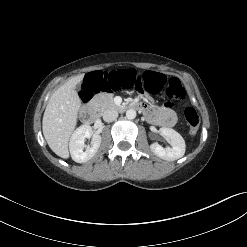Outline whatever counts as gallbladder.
Wrapping results in <instances>:
<instances>
[{
    "label": "gallbladder",
    "instance_id": "obj_1",
    "mask_svg": "<svg viewBox=\"0 0 247 247\" xmlns=\"http://www.w3.org/2000/svg\"><path fill=\"white\" fill-rule=\"evenodd\" d=\"M76 90H77V91H81V90H82L81 84L76 85Z\"/></svg>",
    "mask_w": 247,
    "mask_h": 247
}]
</instances>
